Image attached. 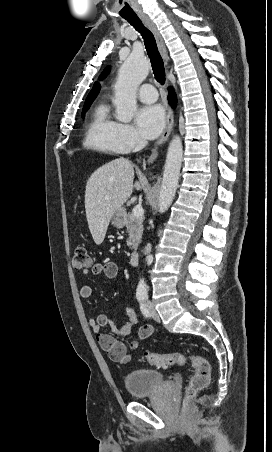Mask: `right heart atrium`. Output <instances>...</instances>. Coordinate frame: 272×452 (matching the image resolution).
<instances>
[{"mask_svg":"<svg viewBox=\"0 0 272 452\" xmlns=\"http://www.w3.org/2000/svg\"><path fill=\"white\" fill-rule=\"evenodd\" d=\"M118 144L123 152H129L140 146L142 139L137 130L126 124H120L117 132Z\"/></svg>","mask_w":272,"mask_h":452,"instance_id":"right-heart-atrium-1","label":"right heart atrium"}]
</instances>
